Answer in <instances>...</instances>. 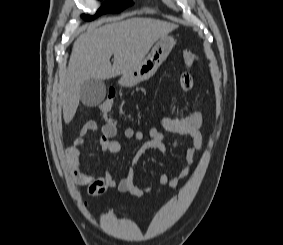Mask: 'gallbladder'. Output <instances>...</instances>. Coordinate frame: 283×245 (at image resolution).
<instances>
[{"label": "gallbladder", "mask_w": 283, "mask_h": 245, "mask_svg": "<svg viewBox=\"0 0 283 245\" xmlns=\"http://www.w3.org/2000/svg\"><path fill=\"white\" fill-rule=\"evenodd\" d=\"M106 95V86L103 80L88 79L80 88V100L85 106L100 104Z\"/></svg>", "instance_id": "1"}]
</instances>
